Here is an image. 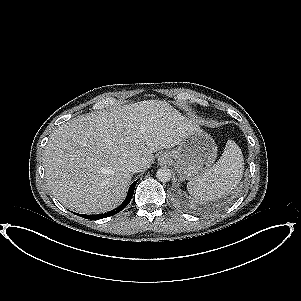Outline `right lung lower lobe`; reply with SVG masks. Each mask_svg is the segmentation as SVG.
I'll use <instances>...</instances> for the list:
<instances>
[{
  "label": "right lung lower lobe",
  "instance_id": "1",
  "mask_svg": "<svg viewBox=\"0 0 301 301\" xmlns=\"http://www.w3.org/2000/svg\"><path fill=\"white\" fill-rule=\"evenodd\" d=\"M138 181V180H137ZM137 181H135L129 188V191H128V194H127V197L125 199V201L122 203V205H120L118 208L110 211V212H107L105 214H98V215H82L80 214L81 217H84L86 219H92V220H96V219H101V218H106V217H110L112 215H115L117 214L118 212H120L122 209H124L128 204L129 202L131 201V198L133 196V193H134V189H135V186H136V183ZM79 215V214H78Z\"/></svg>",
  "mask_w": 301,
  "mask_h": 301
}]
</instances>
